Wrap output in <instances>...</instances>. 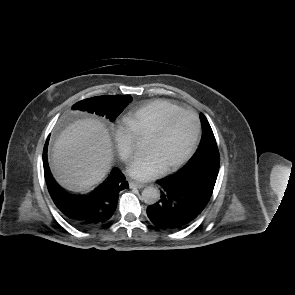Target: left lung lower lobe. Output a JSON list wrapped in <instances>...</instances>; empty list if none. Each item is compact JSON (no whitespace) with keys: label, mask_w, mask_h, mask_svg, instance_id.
I'll list each match as a JSON object with an SVG mask.
<instances>
[{"label":"left lung lower lobe","mask_w":295,"mask_h":295,"mask_svg":"<svg viewBox=\"0 0 295 295\" xmlns=\"http://www.w3.org/2000/svg\"><path fill=\"white\" fill-rule=\"evenodd\" d=\"M220 161L204 159L157 181L161 199L148 206L149 219L159 228L180 229L206 207L217 179Z\"/></svg>","instance_id":"left-lung-lower-lobe-1"}]
</instances>
